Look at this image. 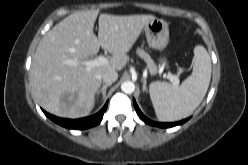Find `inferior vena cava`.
<instances>
[{"mask_svg":"<svg viewBox=\"0 0 248 165\" xmlns=\"http://www.w3.org/2000/svg\"><path fill=\"white\" fill-rule=\"evenodd\" d=\"M118 78V73L115 70H110L102 74V80L106 84H112Z\"/></svg>","mask_w":248,"mask_h":165,"instance_id":"602c4592","label":"inferior vena cava"}]
</instances>
